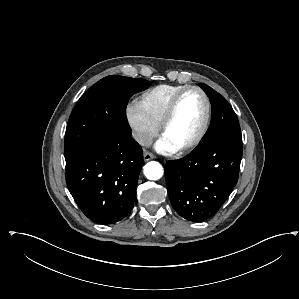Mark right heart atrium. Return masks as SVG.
Listing matches in <instances>:
<instances>
[{
  "label": "right heart atrium",
  "instance_id": "d8ad5b80",
  "mask_svg": "<svg viewBox=\"0 0 299 299\" xmlns=\"http://www.w3.org/2000/svg\"><path fill=\"white\" fill-rule=\"evenodd\" d=\"M126 117L132 131V136L139 145H148L157 135L158 125L146 116L137 103L128 105Z\"/></svg>",
  "mask_w": 299,
  "mask_h": 299
}]
</instances>
